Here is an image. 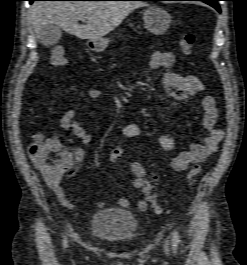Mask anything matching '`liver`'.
I'll list each match as a JSON object with an SVG mask.
<instances>
[{
    "instance_id": "1",
    "label": "liver",
    "mask_w": 247,
    "mask_h": 265,
    "mask_svg": "<svg viewBox=\"0 0 247 265\" xmlns=\"http://www.w3.org/2000/svg\"><path fill=\"white\" fill-rule=\"evenodd\" d=\"M146 6L140 1H36L29 19L36 36L46 24H56L80 39L98 40L109 34L133 10ZM86 17L80 25V17Z\"/></svg>"
}]
</instances>
